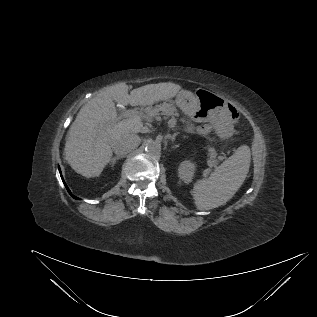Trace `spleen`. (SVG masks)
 Instances as JSON below:
<instances>
[{
	"label": "spleen",
	"instance_id": "obj_1",
	"mask_svg": "<svg viewBox=\"0 0 317 317\" xmlns=\"http://www.w3.org/2000/svg\"><path fill=\"white\" fill-rule=\"evenodd\" d=\"M250 148L240 146L207 179L197 181L193 198L198 210H210L230 200L243 184L250 167Z\"/></svg>",
	"mask_w": 317,
	"mask_h": 317
}]
</instances>
